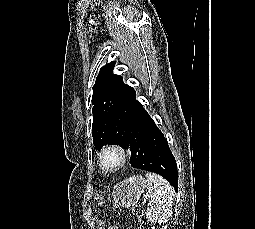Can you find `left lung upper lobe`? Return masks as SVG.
<instances>
[{
	"instance_id": "5c2ea615",
	"label": "left lung upper lobe",
	"mask_w": 255,
	"mask_h": 229,
	"mask_svg": "<svg viewBox=\"0 0 255 229\" xmlns=\"http://www.w3.org/2000/svg\"><path fill=\"white\" fill-rule=\"evenodd\" d=\"M115 61L100 69L93 86V144L100 149L104 145L117 144L129 147V138L114 121V113L131 87L124 84L122 76L113 74Z\"/></svg>"
}]
</instances>
